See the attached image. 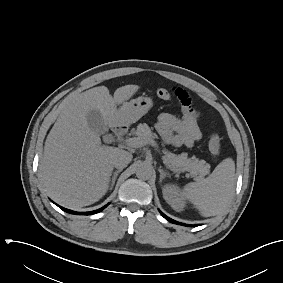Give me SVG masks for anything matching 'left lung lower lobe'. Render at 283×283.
Masks as SVG:
<instances>
[{"mask_svg":"<svg viewBox=\"0 0 283 283\" xmlns=\"http://www.w3.org/2000/svg\"><path fill=\"white\" fill-rule=\"evenodd\" d=\"M160 213H161V215H162L165 219H167L169 222L174 223V224H181V225H183L182 223H179V222H177V221H174V220L170 219V218L167 217L165 214H163L161 211H160Z\"/></svg>","mask_w":283,"mask_h":283,"instance_id":"obj_1","label":"left lung lower lobe"}]
</instances>
